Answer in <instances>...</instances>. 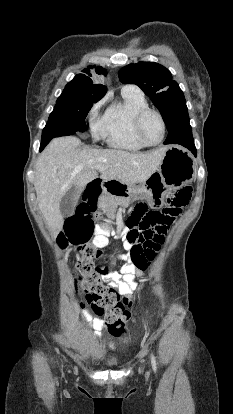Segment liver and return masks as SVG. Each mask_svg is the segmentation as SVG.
<instances>
[{
	"label": "liver",
	"mask_w": 233,
	"mask_h": 414,
	"mask_svg": "<svg viewBox=\"0 0 233 414\" xmlns=\"http://www.w3.org/2000/svg\"><path fill=\"white\" fill-rule=\"evenodd\" d=\"M74 136L53 139L38 157L34 187L37 203L53 235L63 228L60 212L62 198L76 188L75 201L86 185L97 177V168L104 179H116L124 184L142 183L158 170L167 150L161 147L147 153L121 149L81 148Z\"/></svg>",
	"instance_id": "obj_1"
}]
</instances>
